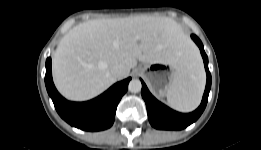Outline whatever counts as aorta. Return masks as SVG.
Masks as SVG:
<instances>
[{"mask_svg": "<svg viewBox=\"0 0 261 150\" xmlns=\"http://www.w3.org/2000/svg\"><path fill=\"white\" fill-rule=\"evenodd\" d=\"M141 88H142V84L139 79H132L128 86V90L132 93L140 92Z\"/></svg>", "mask_w": 261, "mask_h": 150, "instance_id": "aorta-1", "label": "aorta"}]
</instances>
